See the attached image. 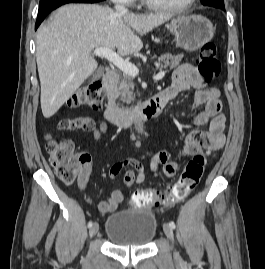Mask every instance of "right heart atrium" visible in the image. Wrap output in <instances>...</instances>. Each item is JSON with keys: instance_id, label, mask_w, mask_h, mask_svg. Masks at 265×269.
<instances>
[{"instance_id": "right-heart-atrium-1", "label": "right heart atrium", "mask_w": 265, "mask_h": 269, "mask_svg": "<svg viewBox=\"0 0 265 269\" xmlns=\"http://www.w3.org/2000/svg\"><path fill=\"white\" fill-rule=\"evenodd\" d=\"M112 1L119 4H130L134 2L135 0H112Z\"/></svg>"}]
</instances>
